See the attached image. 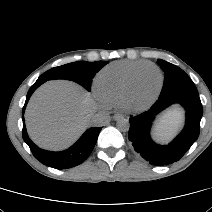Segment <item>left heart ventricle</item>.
Instances as JSON below:
<instances>
[{
    "label": "left heart ventricle",
    "instance_id": "left-heart-ventricle-1",
    "mask_svg": "<svg viewBox=\"0 0 212 212\" xmlns=\"http://www.w3.org/2000/svg\"><path fill=\"white\" fill-rule=\"evenodd\" d=\"M159 84L158 73L153 69L143 70L137 80L131 103L141 105L147 102L155 93Z\"/></svg>",
    "mask_w": 212,
    "mask_h": 212
}]
</instances>
